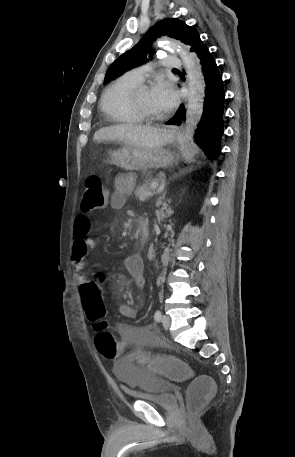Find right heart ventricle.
<instances>
[{"label":"right heart ventricle","instance_id":"e07e8e85","mask_svg":"<svg viewBox=\"0 0 295 457\" xmlns=\"http://www.w3.org/2000/svg\"><path fill=\"white\" fill-rule=\"evenodd\" d=\"M140 82L129 74L111 82L104 90L100 107L105 115L115 123L138 124L142 120L133 112L129 95Z\"/></svg>","mask_w":295,"mask_h":457}]
</instances>
